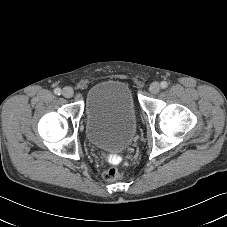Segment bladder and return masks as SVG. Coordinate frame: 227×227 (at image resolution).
Wrapping results in <instances>:
<instances>
[{
  "label": "bladder",
  "instance_id": "bladder-1",
  "mask_svg": "<svg viewBox=\"0 0 227 227\" xmlns=\"http://www.w3.org/2000/svg\"><path fill=\"white\" fill-rule=\"evenodd\" d=\"M137 111L129 86L109 80L92 87L85 102V134L90 144L119 152L134 141Z\"/></svg>",
  "mask_w": 227,
  "mask_h": 227
}]
</instances>
